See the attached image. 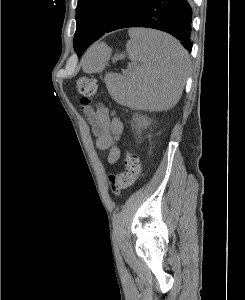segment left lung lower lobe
<instances>
[{"label":"left lung lower lobe","mask_w":245,"mask_h":300,"mask_svg":"<svg viewBox=\"0 0 245 300\" xmlns=\"http://www.w3.org/2000/svg\"><path fill=\"white\" fill-rule=\"evenodd\" d=\"M192 0H136L127 7L106 29L105 33L128 27H146L165 31L178 40L191 52ZM83 40L82 53L101 36Z\"/></svg>","instance_id":"1"}]
</instances>
